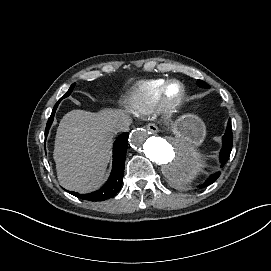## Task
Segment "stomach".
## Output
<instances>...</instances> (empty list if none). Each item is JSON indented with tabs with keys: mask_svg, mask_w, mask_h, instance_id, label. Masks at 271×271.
I'll return each mask as SVG.
<instances>
[{
	"mask_svg": "<svg viewBox=\"0 0 271 271\" xmlns=\"http://www.w3.org/2000/svg\"><path fill=\"white\" fill-rule=\"evenodd\" d=\"M171 130L177 138H181L199 146L206 136V126L204 122L193 114L180 116L171 125Z\"/></svg>",
	"mask_w": 271,
	"mask_h": 271,
	"instance_id": "stomach-1",
	"label": "stomach"
}]
</instances>
